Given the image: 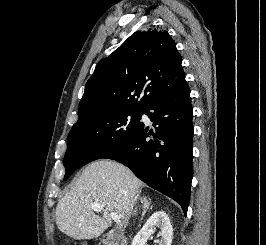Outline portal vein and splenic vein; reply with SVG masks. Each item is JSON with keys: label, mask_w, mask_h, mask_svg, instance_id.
Here are the masks:
<instances>
[{"label": "portal vein and splenic vein", "mask_w": 266, "mask_h": 245, "mask_svg": "<svg viewBox=\"0 0 266 245\" xmlns=\"http://www.w3.org/2000/svg\"><path fill=\"white\" fill-rule=\"evenodd\" d=\"M93 211H102L103 207L102 205H100V203H92L91 205ZM110 217L111 219H113V221H115V223H121L120 219L121 217H119V215H117V213H110Z\"/></svg>", "instance_id": "portal-vein-and-splenic-vein-1"}]
</instances>
